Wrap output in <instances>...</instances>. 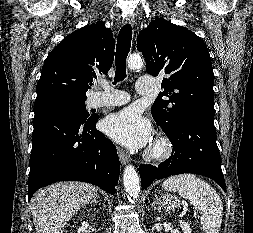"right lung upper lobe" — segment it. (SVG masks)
Masks as SVG:
<instances>
[{
    "label": "right lung upper lobe",
    "instance_id": "cb5924a9",
    "mask_svg": "<svg viewBox=\"0 0 253 233\" xmlns=\"http://www.w3.org/2000/svg\"><path fill=\"white\" fill-rule=\"evenodd\" d=\"M114 48L113 34L102 21L66 36L45 60L35 103L50 98L86 100L93 78L111 68Z\"/></svg>",
    "mask_w": 253,
    "mask_h": 233
}]
</instances>
